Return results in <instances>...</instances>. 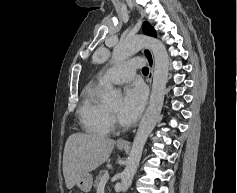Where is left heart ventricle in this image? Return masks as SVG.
Listing matches in <instances>:
<instances>
[{
    "label": "left heart ventricle",
    "mask_w": 237,
    "mask_h": 193,
    "mask_svg": "<svg viewBox=\"0 0 237 193\" xmlns=\"http://www.w3.org/2000/svg\"><path fill=\"white\" fill-rule=\"evenodd\" d=\"M112 113L114 114H118L119 113V110H120V106L119 105H113V106H110L108 108Z\"/></svg>",
    "instance_id": "b2bd125f"
}]
</instances>
